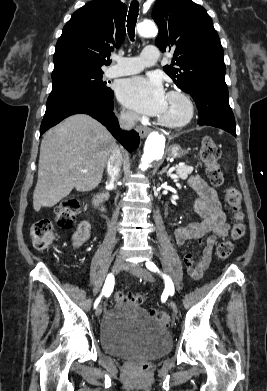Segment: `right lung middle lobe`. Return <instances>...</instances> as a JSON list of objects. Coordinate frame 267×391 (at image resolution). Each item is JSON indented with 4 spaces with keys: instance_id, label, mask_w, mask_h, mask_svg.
Wrapping results in <instances>:
<instances>
[{
    "instance_id": "right-lung-middle-lobe-1",
    "label": "right lung middle lobe",
    "mask_w": 267,
    "mask_h": 391,
    "mask_svg": "<svg viewBox=\"0 0 267 391\" xmlns=\"http://www.w3.org/2000/svg\"><path fill=\"white\" fill-rule=\"evenodd\" d=\"M103 71L97 72H71L57 76H52L51 95L67 91H83L101 95H110L113 93L111 88L102 81Z\"/></svg>"
}]
</instances>
